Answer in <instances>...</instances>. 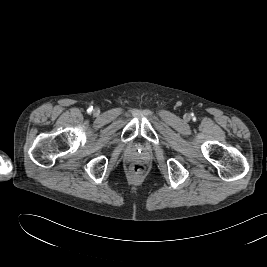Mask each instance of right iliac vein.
Returning <instances> with one entry per match:
<instances>
[{"label": "right iliac vein", "mask_w": 267, "mask_h": 267, "mask_svg": "<svg viewBox=\"0 0 267 267\" xmlns=\"http://www.w3.org/2000/svg\"><path fill=\"white\" fill-rule=\"evenodd\" d=\"M94 112L96 113V112H98V109L96 108V109H94Z\"/></svg>", "instance_id": "right-iliac-vein-1"}]
</instances>
